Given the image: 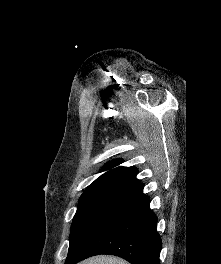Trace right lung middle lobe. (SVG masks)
Listing matches in <instances>:
<instances>
[{
  "mask_svg": "<svg viewBox=\"0 0 221 264\" xmlns=\"http://www.w3.org/2000/svg\"><path fill=\"white\" fill-rule=\"evenodd\" d=\"M124 191L125 189L119 188H103L85 191L81 195L71 226L67 258H71L80 252L99 223Z\"/></svg>",
  "mask_w": 221,
  "mask_h": 264,
  "instance_id": "obj_1",
  "label": "right lung middle lobe"
}]
</instances>
